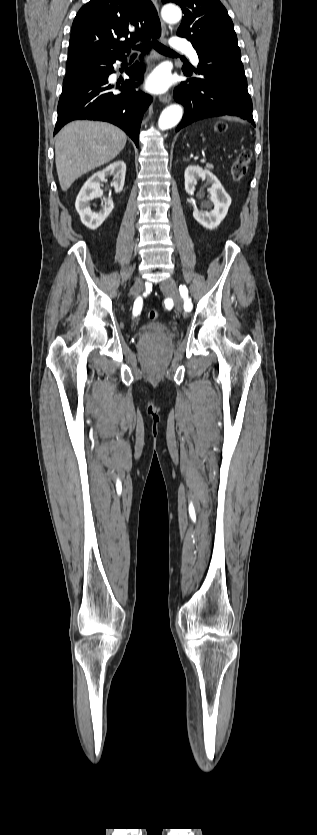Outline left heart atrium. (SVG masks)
Returning <instances> with one entry per match:
<instances>
[{
	"label": "left heart atrium",
	"mask_w": 317,
	"mask_h": 835,
	"mask_svg": "<svg viewBox=\"0 0 317 835\" xmlns=\"http://www.w3.org/2000/svg\"><path fill=\"white\" fill-rule=\"evenodd\" d=\"M169 86V78L163 70L154 71L146 81V88L152 92H163Z\"/></svg>",
	"instance_id": "39dd6f15"
}]
</instances>
